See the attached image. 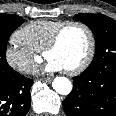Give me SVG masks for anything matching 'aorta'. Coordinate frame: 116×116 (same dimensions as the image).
I'll list each match as a JSON object with an SVG mask.
<instances>
[{
	"label": "aorta",
	"instance_id": "1",
	"mask_svg": "<svg viewBox=\"0 0 116 116\" xmlns=\"http://www.w3.org/2000/svg\"><path fill=\"white\" fill-rule=\"evenodd\" d=\"M52 86L53 89L61 95H68L72 90V83L66 77H56Z\"/></svg>",
	"mask_w": 116,
	"mask_h": 116
}]
</instances>
